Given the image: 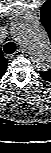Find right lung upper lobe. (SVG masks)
I'll return each instance as SVG.
<instances>
[{"instance_id": "cb5924a9", "label": "right lung upper lobe", "mask_w": 51, "mask_h": 153, "mask_svg": "<svg viewBox=\"0 0 51 153\" xmlns=\"http://www.w3.org/2000/svg\"><path fill=\"white\" fill-rule=\"evenodd\" d=\"M7 65H8V62L4 58V55L0 49V78L4 75Z\"/></svg>"}]
</instances>
